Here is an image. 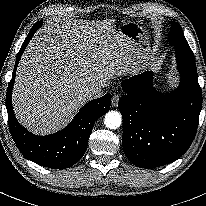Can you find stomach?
I'll return each instance as SVG.
<instances>
[{
	"label": "stomach",
	"mask_w": 206,
	"mask_h": 206,
	"mask_svg": "<svg viewBox=\"0 0 206 206\" xmlns=\"http://www.w3.org/2000/svg\"><path fill=\"white\" fill-rule=\"evenodd\" d=\"M118 32L132 41L137 60L146 64L152 54L149 38L144 29L136 22H125L118 27Z\"/></svg>",
	"instance_id": "obj_1"
}]
</instances>
